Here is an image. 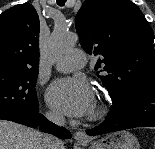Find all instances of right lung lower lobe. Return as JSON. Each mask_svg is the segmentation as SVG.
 <instances>
[{
    "label": "right lung lower lobe",
    "mask_w": 155,
    "mask_h": 149,
    "mask_svg": "<svg viewBox=\"0 0 155 149\" xmlns=\"http://www.w3.org/2000/svg\"><path fill=\"white\" fill-rule=\"evenodd\" d=\"M0 119L17 122L29 127L40 126L41 130L47 133H51L59 138L68 139L71 138V133L65 128H61L52 122L48 121L42 114L38 113V110L33 113L31 117L24 120H18L7 116L0 115Z\"/></svg>",
    "instance_id": "right-lung-lower-lobe-1"
}]
</instances>
